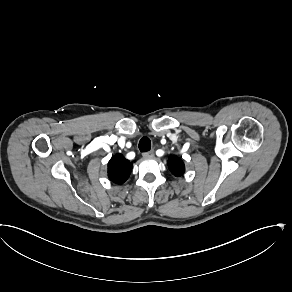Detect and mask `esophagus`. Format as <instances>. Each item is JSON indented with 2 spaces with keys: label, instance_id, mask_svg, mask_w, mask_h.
<instances>
[{
  "label": "esophagus",
  "instance_id": "34e87169",
  "mask_svg": "<svg viewBox=\"0 0 292 292\" xmlns=\"http://www.w3.org/2000/svg\"><path fill=\"white\" fill-rule=\"evenodd\" d=\"M142 156L145 158H153L154 157V150L152 149L150 151L144 152L142 154Z\"/></svg>",
  "mask_w": 292,
  "mask_h": 292
}]
</instances>
